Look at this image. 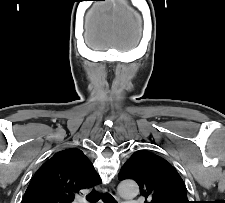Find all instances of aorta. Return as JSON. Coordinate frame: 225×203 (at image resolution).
I'll list each match as a JSON object with an SVG mask.
<instances>
[{
    "mask_svg": "<svg viewBox=\"0 0 225 203\" xmlns=\"http://www.w3.org/2000/svg\"><path fill=\"white\" fill-rule=\"evenodd\" d=\"M139 192L136 182L131 180H125L118 185V193L122 197H135Z\"/></svg>",
    "mask_w": 225,
    "mask_h": 203,
    "instance_id": "762f6f07",
    "label": "aorta"
}]
</instances>
